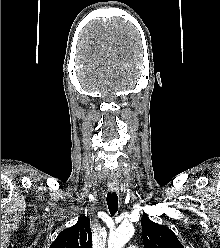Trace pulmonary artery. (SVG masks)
Returning <instances> with one entry per match:
<instances>
[{
	"mask_svg": "<svg viewBox=\"0 0 220 248\" xmlns=\"http://www.w3.org/2000/svg\"><path fill=\"white\" fill-rule=\"evenodd\" d=\"M127 248H138V247L135 246V245H131V246L127 247Z\"/></svg>",
	"mask_w": 220,
	"mask_h": 248,
	"instance_id": "obj_1",
	"label": "pulmonary artery"
}]
</instances>
